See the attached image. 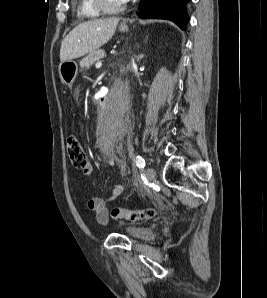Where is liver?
I'll return each mask as SVG.
<instances>
[{
	"mask_svg": "<svg viewBox=\"0 0 267 298\" xmlns=\"http://www.w3.org/2000/svg\"><path fill=\"white\" fill-rule=\"evenodd\" d=\"M120 18L93 19L77 25L64 38L60 48V61L73 60L97 50L115 33Z\"/></svg>",
	"mask_w": 267,
	"mask_h": 298,
	"instance_id": "liver-1",
	"label": "liver"
}]
</instances>
